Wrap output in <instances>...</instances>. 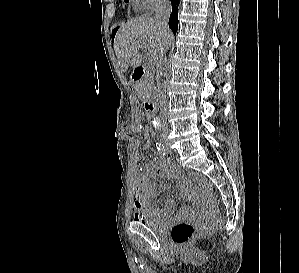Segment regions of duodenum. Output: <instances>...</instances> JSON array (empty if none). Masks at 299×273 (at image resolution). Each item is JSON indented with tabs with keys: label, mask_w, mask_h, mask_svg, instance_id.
Returning <instances> with one entry per match:
<instances>
[{
	"label": "duodenum",
	"mask_w": 299,
	"mask_h": 273,
	"mask_svg": "<svg viewBox=\"0 0 299 273\" xmlns=\"http://www.w3.org/2000/svg\"><path fill=\"white\" fill-rule=\"evenodd\" d=\"M146 72H147L146 67L144 66L137 67L132 73V80L134 82L140 81L145 76ZM145 107L150 114H154L156 112L155 103L151 99L145 100Z\"/></svg>",
	"instance_id": "obj_1"
}]
</instances>
